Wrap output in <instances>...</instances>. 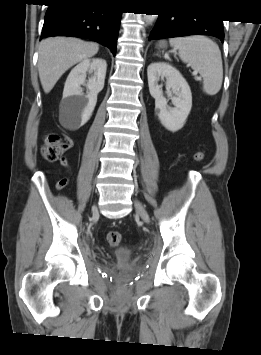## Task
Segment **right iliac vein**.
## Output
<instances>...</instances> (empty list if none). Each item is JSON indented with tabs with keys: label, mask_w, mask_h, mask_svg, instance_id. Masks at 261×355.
Wrapping results in <instances>:
<instances>
[{
	"label": "right iliac vein",
	"mask_w": 261,
	"mask_h": 355,
	"mask_svg": "<svg viewBox=\"0 0 261 355\" xmlns=\"http://www.w3.org/2000/svg\"><path fill=\"white\" fill-rule=\"evenodd\" d=\"M92 213H93V215H97V214H98V211H97L96 206H94V207L92 208Z\"/></svg>",
	"instance_id": "1"
}]
</instances>
